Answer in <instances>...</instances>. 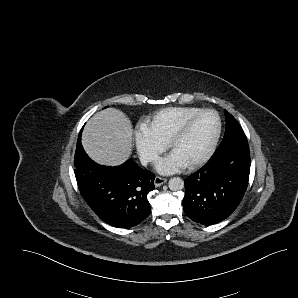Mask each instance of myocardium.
Segmentation results:
<instances>
[{
    "label": "myocardium",
    "mask_w": 298,
    "mask_h": 298,
    "mask_svg": "<svg viewBox=\"0 0 298 298\" xmlns=\"http://www.w3.org/2000/svg\"><path fill=\"white\" fill-rule=\"evenodd\" d=\"M205 114H210L214 117L215 119V124H216V129H215V133L212 137V139L210 140V142L208 143L206 149L203 151V153L197 157L196 159H194L192 162H190L188 165H186L189 168L195 167L203 162H205L209 156L211 155L218 139L220 136V120L219 117L217 116V114L211 110L208 109H202L192 115H190L189 117H187L186 119H184L183 121H181L180 123H178L173 129L172 131L169 133V135L166 138L167 141V145H168V150L170 151L172 146L174 145V143L177 141V139L183 134V132L189 127V125L198 117L205 115Z\"/></svg>",
    "instance_id": "1"
}]
</instances>
